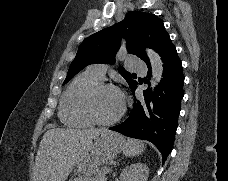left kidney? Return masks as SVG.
Masks as SVG:
<instances>
[{"mask_svg": "<svg viewBox=\"0 0 228 181\" xmlns=\"http://www.w3.org/2000/svg\"><path fill=\"white\" fill-rule=\"evenodd\" d=\"M149 167L143 163H135L123 169L120 181H148Z\"/></svg>", "mask_w": 228, "mask_h": 181, "instance_id": "5707ae66", "label": "left kidney"}]
</instances>
